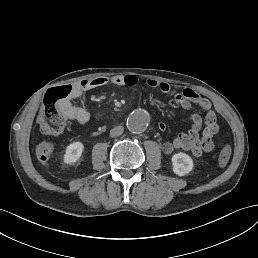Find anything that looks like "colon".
<instances>
[{"label": "colon", "mask_w": 258, "mask_h": 258, "mask_svg": "<svg viewBox=\"0 0 258 258\" xmlns=\"http://www.w3.org/2000/svg\"><path fill=\"white\" fill-rule=\"evenodd\" d=\"M73 94V85L66 84L47 91L43 105L38 114L40 131L48 136H59L65 130L67 118L63 113L62 106ZM172 104H177L176 99ZM231 147L224 146L218 155V164L225 166L231 158Z\"/></svg>", "instance_id": "1"}]
</instances>
